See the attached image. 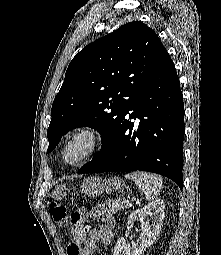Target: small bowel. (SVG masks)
<instances>
[{"mask_svg": "<svg viewBox=\"0 0 221 255\" xmlns=\"http://www.w3.org/2000/svg\"><path fill=\"white\" fill-rule=\"evenodd\" d=\"M93 214L101 224L95 228L86 226L82 232L72 230L73 240L68 245V255H93L99 241L104 245L110 244L115 225L112 214L102 205L95 207Z\"/></svg>", "mask_w": 221, "mask_h": 255, "instance_id": "c3829d8e", "label": "small bowel"}]
</instances>
